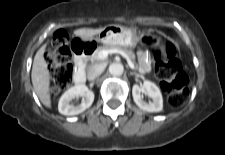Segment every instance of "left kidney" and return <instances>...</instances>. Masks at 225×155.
<instances>
[{
    "label": "left kidney",
    "instance_id": "1",
    "mask_svg": "<svg viewBox=\"0 0 225 155\" xmlns=\"http://www.w3.org/2000/svg\"><path fill=\"white\" fill-rule=\"evenodd\" d=\"M142 93H147L153 101L149 103L143 101ZM132 95L136 105L144 111L160 112L163 109L162 94L156 84L151 81H144L140 86L133 85Z\"/></svg>",
    "mask_w": 225,
    "mask_h": 155
}]
</instances>
